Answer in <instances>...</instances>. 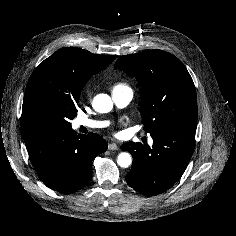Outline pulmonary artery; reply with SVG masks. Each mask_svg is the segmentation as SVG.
I'll return each mask as SVG.
<instances>
[{
	"label": "pulmonary artery",
	"instance_id": "pulmonary-artery-1",
	"mask_svg": "<svg viewBox=\"0 0 236 236\" xmlns=\"http://www.w3.org/2000/svg\"><path fill=\"white\" fill-rule=\"evenodd\" d=\"M112 98L114 103L122 108L127 106L132 98H133V92L130 88H116L112 91ZM104 122L91 120L88 118H78L75 120V127H87V128H99L104 126Z\"/></svg>",
	"mask_w": 236,
	"mask_h": 236
}]
</instances>
